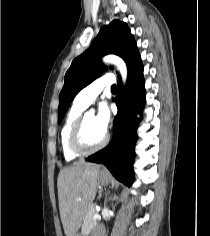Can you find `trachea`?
I'll use <instances>...</instances> for the list:
<instances>
[{
    "mask_svg": "<svg viewBox=\"0 0 210 236\" xmlns=\"http://www.w3.org/2000/svg\"><path fill=\"white\" fill-rule=\"evenodd\" d=\"M111 90H112V91H116V90H117L116 85H113V86L111 87Z\"/></svg>",
    "mask_w": 210,
    "mask_h": 236,
    "instance_id": "3493384b",
    "label": "trachea"
}]
</instances>
